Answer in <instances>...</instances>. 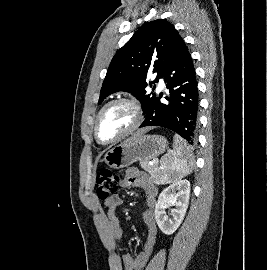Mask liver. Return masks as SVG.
Masks as SVG:
<instances>
[{"label": "liver", "instance_id": "obj_1", "mask_svg": "<svg viewBox=\"0 0 267 270\" xmlns=\"http://www.w3.org/2000/svg\"><path fill=\"white\" fill-rule=\"evenodd\" d=\"M151 128L150 127H148V128H143V129H141V130H139V131H137L131 138H129L128 140H132V139H134V138H137V137H139V136H141L142 134H145L147 131H149Z\"/></svg>", "mask_w": 267, "mask_h": 270}]
</instances>
